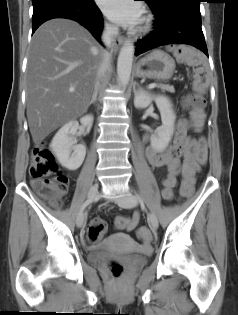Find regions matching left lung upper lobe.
<instances>
[{"instance_id":"5c2ea615","label":"left lung upper lobe","mask_w":238,"mask_h":315,"mask_svg":"<svg viewBox=\"0 0 238 315\" xmlns=\"http://www.w3.org/2000/svg\"><path fill=\"white\" fill-rule=\"evenodd\" d=\"M150 6H156L159 2L163 0H145Z\"/></svg>"}]
</instances>
